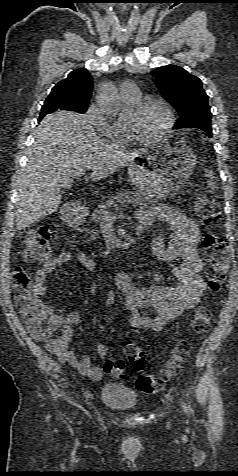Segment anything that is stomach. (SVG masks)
<instances>
[{
  "label": "stomach",
  "mask_w": 238,
  "mask_h": 476,
  "mask_svg": "<svg viewBox=\"0 0 238 476\" xmlns=\"http://www.w3.org/2000/svg\"><path fill=\"white\" fill-rule=\"evenodd\" d=\"M140 163H130L128 177L142 195L166 198L177 194L189 179L196 157L190 146L178 136L157 141L138 153Z\"/></svg>",
  "instance_id": "0dacf381"
}]
</instances>
